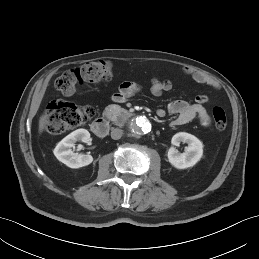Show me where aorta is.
I'll return each mask as SVG.
<instances>
[{"label": "aorta", "instance_id": "obj_1", "mask_svg": "<svg viewBox=\"0 0 259 259\" xmlns=\"http://www.w3.org/2000/svg\"><path fill=\"white\" fill-rule=\"evenodd\" d=\"M130 130L135 135H143L151 131V124L145 117H137L132 120Z\"/></svg>", "mask_w": 259, "mask_h": 259}]
</instances>
